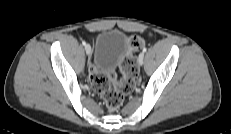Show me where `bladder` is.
I'll list each match as a JSON object with an SVG mask.
<instances>
[{
	"label": "bladder",
	"mask_w": 231,
	"mask_h": 134,
	"mask_svg": "<svg viewBox=\"0 0 231 134\" xmlns=\"http://www.w3.org/2000/svg\"><path fill=\"white\" fill-rule=\"evenodd\" d=\"M126 50L127 37L124 32L116 29L99 32L95 39L94 68L104 75L112 74Z\"/></svg>",
	"instance_id": "1"
}]
</instances>
